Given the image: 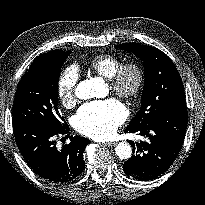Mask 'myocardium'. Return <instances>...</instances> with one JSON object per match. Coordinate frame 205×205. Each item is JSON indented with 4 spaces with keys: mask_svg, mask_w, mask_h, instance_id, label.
<instances>
[{
    "mask_svg": "<svg viewBox=\"0 0 205 205\" xmlns=\"http://www.w3.org/2000/svg\"><path fill=\"white\" fill-rule=\"evenodd\" d=\"M145 84V71L137 62L123 63L109 79L111 90L121 98L134 99L142 92Z\"/></svg>",
    "mask_w": 205,
    "mask_h": 205,
    "instance_id": "1",
    "label": "myocardium"
}]
</instances>
